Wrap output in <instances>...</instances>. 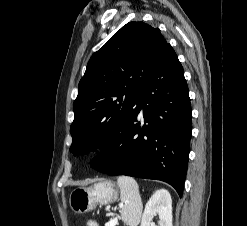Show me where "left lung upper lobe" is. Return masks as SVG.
Wrapping results in <instances>:
<instances>
[{
  "instance_id": "left-lung-upper-lobe-1",
  "label": "left lung upper lobe",
  "mask_w": 247,
  "mask_h": 226,
  "mask_svg": "<svg viewBox=\"0 0 247 226\" xmlns=\"http://www.w3.org/2000/svg\"><path fill=\"white\" fill-rule=\"evenodd\" d=\"M166 44L158 29L129 22L92 55L73 104L70 152L103 150L114 141Z\"/></svg>"
}]
</instances>
